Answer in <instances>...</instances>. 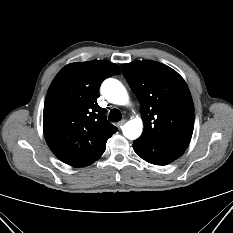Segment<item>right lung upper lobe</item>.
I'll use <instances>...</instances> for the list:
<instances>
[{"label":"right lung upper lobe","mask_w":233,"mask_h":233,"mask_svg":"<svg viewBox=\"0 0 233 233\" xmlns=\"http://www.w3.org/2000/svg\"><path fill=\"white\" fill-rule=\"evenodd\" d=\"M119 73L114 63L94 60L68 64L54 78L45 99L43 132L62 162L85 167L104 153L117 128L98 106V90L104 79Z\"/></svg>","instance_id":"right-lung-upper-lobe-1"}]
</instances>
